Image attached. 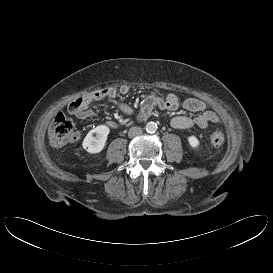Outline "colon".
Wrapping results in <instances>:
<instances>
[{
	"mask_svg": "<svg viewBox=\"0 0 273 273\" xmlns=\"http://www.w3.org/2000/svg\"><path fill=\"white\" fill-rule=\"evenodd\" d=\"M48 136L53 146H63L73 142L78 134L74 129L72 120L64 113H56L50 123ZM209 140L215 147H221L225 143V136L218 130H212L209 134Z\"/></svg>",
	"mask_w": 273,
	"mask_h": 273,
	"instance_id": "5ec220e1",
	"label": "colon"
}]
</instances>
